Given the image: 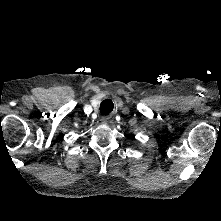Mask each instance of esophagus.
<instances>
[{"instance_id": "esophagus-1", "label": "esophagus", "mask_w": 221, "mask_h": 221, "mask_svg": "<svg viewBox=\"0 0 221 221\" xmlns=\"http://www.w3.org/2000/svg\"><path fill=\"white\" fill-rule=\"evenodd\" d=\"M101 122L106 124L108 122V118L107 117H103L101 118Z\"/></svg>"}]
</instances>
